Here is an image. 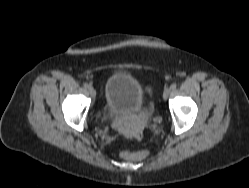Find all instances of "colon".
<instances>
[{
    "mask_svg": "<svg viewBox=\"0 0 249 188\" xmlns=\"http://www.w3.org/2000/svg\"><path fill=\"white\" fill-rule=\"evenodd\" d=\"M135 140L140 141L141 140V134L135 135ZM143 153H131V152H122L121 157L123 159H133V158H141L143 157Z\"/></svg>",
    "mask_w": 249,
    "mask_h": 188,
    "instance_id": "1",
    "label": "colon"
}]
</instances>
